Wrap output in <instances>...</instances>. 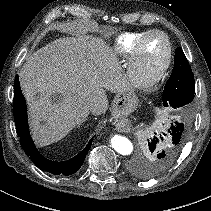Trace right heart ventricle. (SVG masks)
<instances>
[{
  "mask_svg": "<svg viewBox=\"0 0 211 211\" xmlns=\"http://www.w3.org/2000/svg\"><path fill=\"white\" fill-rule=\"evenodd\" d=\"M148 31L125 32L119 35L114 43L113 49L118 57L130 60L137 41Z\"/></svg>",
  "mask_w": 211,
  "mask_h": 211,
  "instance_id": "obj_1",
  "label": "right heart ventricle"
}]
</instances>
